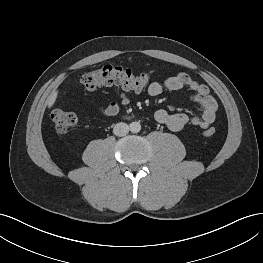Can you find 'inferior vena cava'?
<instances>
[{
	"label": "inferior vena cava",
	"instance_id": "1",
	"mask_svg": "<svg viewBox=\"0 0 263 263\" xmlns=\"http://www.w3.org/2000/svg\"><path fill=\"white\" fill-rule=\"evenodd\" d=\"M129 130L130 128L126 123L120 122V123L115 124L113 128V133L116 136H125L126 134H128Z\"/></svg>",
	"mask_w": 263,
	"mask_h": 263
}]
</instances>
